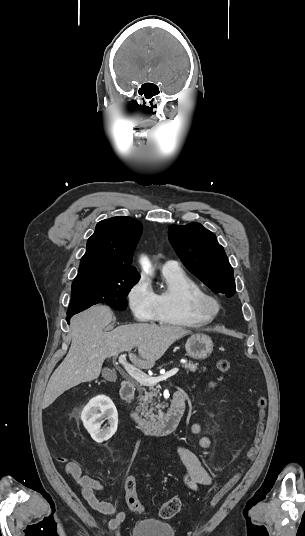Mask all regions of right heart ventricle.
Here are the masks:
<instances>
[{"label":"right heart ventricle","mask_w":305,"mask_h":536,"mask_svg":"<svg viewBox=\"0 0 305 536\" xmlns=\"http://www.w3.org/2000/svg\"><path fill=\"white\" fill-rule=\"evenodd\" d=\"M165 288L155 292L156 321L162 325L179 327H199L206 325L189 308V299L204 292L200 284L181 268L162 269Z\"/></svg>","instance_id":"right-heart-ventricle-1"}]
</instances>
